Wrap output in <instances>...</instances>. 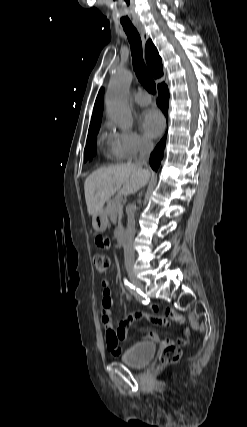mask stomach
<instances>
[{"label": "stomach", "instance_id": "0dacf381", "mask_svg": "<svg viewBox=\"0 0 247 427\" xmlns=\"http://www.w3.org/2000/svg\"><path fill=\"white\" fill-rule=\"evenodd\" d=\"M108 225V217L105 210H101L96 216L92 218V226L97 232H103Z\"/></svg>", "mask_w": 247, "mask_h": 427}]
</instances>
